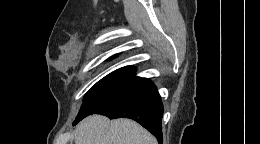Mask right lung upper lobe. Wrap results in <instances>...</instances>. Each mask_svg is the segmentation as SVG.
Here are the masks:
<instances>
[{
	"mask_svg": "<svg viewBox=\"0 0 260 144\" xmlns=\"http://www.w3.org/2000/svg\"><path fill=\"white\" fill-rule=\"evenodd\" d=\"M118 70H122V71H135V69L132 66H126V67L120 68Z\"/></svg>",
	"mask_w": 260,
	"mask_h": 144,
	"instance_id": "obj_1",
	"label": "right lung upper lobe"
}]
</instances>
